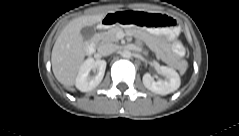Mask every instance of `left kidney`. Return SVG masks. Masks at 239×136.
Wrapping results in <instances>:
<instances>
[{
    "label": "left kidney",
    "mask_w": 239,
    "mask_h": 136,
    "mask_svg": "<svg viewBox=\"0 0 239 136\" xmlns=\"http://www.w3.org/2000/svg\"><path fill=\"white\" fill-rule=\"evenodd\" d=\"M157 70L164 75L166 79L156 82L149 73L144 74L142 80L148 90L156 94L167 95L179 88L180 76L173 68L160 66Z\"/></svg>",
    "instance_id": "5707ae66"
}]
</instances>
